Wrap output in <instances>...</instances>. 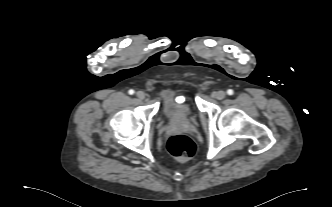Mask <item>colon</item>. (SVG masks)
<instances>
[{
  "mask_svg": "<svg viewBox=\"0 0 332 207\" xmlns=\"http://www.w3.org/2000/svg\"><path fill=\"white\" fill-rule=\"evenodd\" d=\"M168 151L180 160H187L195 153V144L184 134L173 135L167 143Z\"/></svg>",
  "mask_w": 332,
  "mask_h": 207,
  "instance_id": "colon-1",
  "label": "colon"
}]
</instances>
